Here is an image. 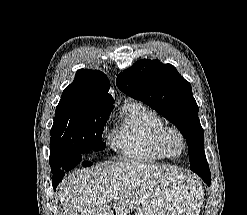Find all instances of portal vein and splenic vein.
<instances>
[{"label": "portal vein and splenic vein", "mask_w": 247, "mask_h": 215, "mask_svg": "<svg viewBox=\"0 0 247 215\" xmlns=\"http://www.w3.org/2000/svg\"><path fill=\"white\" fill-rule=\"evenodd\" d=\"M114 198H116V197H114V196H110V200H112V199H114Z\"/></svg>", "instance_id": "18ae733b"}]
</instances>
